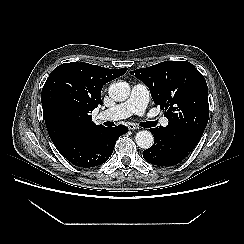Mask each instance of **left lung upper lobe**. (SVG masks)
<instances>
[{
	"label": "left lung upper lobe",
	"mask_w": 244,
	"mask_h": 244,
	"mask_svg": "<svg viewBox=\"0 0 244 244\" xmlns=\"http://www.w3.org/2000/svg\"><path fill=\"white\" fill-rule=\"evenodd\" d=\"M130 74L146 84L154 103L165 111L169 122L163 130L197 144L209 118L204 76L187 61L161 62Z\"/></svg>",
	"instance_id": "left-lung-upper-lobe-1"
}]
</instances>
